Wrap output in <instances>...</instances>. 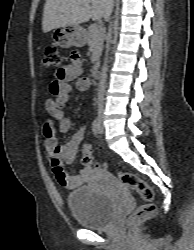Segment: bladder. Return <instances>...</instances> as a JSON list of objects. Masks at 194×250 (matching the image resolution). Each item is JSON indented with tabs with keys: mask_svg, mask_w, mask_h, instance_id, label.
Listing matches in <instances>:
<instances>
[{
	"mask_svg": "<svg viewBox=\"0 0 194 250\" xmlns=\"http://www.w3.org/2000/svg\"><path fill=\"white\" fill-rule=\"evenodd\" d=\"M67 204L74 219L90 229L106 228L116 215L113 198L92 186L69 192Z\"/></svg>",
	"mask_w": 194,
	"mask_h": 250,
	"instance_id": "1",
	"label": "bladder"
}]
</instances>
